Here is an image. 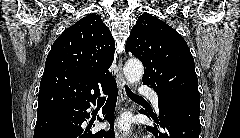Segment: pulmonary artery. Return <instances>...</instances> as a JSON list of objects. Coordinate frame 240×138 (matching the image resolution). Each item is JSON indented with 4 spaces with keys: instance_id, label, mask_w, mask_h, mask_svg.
<instances>
[{
    "instance_id": "1",
    "label": "pulmonary artery",
    "mask_w": 240,
    "mask_h": 138,
    "mask_svg": "<svg viewBox=\"0 0 240 138\" xmlns=\"http://www.w3.org/2000/svg\"><path fill=\"white\" fill-rule=\"evenodd\" d=\"M140 94L149 98L155 109L158 110V94L154 90L144 86L141 88Z\"/></svg>"
}]
</instances>
